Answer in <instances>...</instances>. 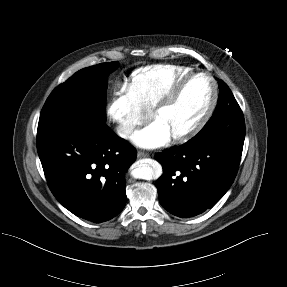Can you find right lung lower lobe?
Returning <instances> with one entry per match:
<instances>
[{
	"mask_svg": "<svg viewBox=\"0 0 287 287\" xmlns=\"http://www.w3.org/2000/svg\"><path fill=\"white\" fill-rule=\"evenodd\" d=\"M37 150L50 190L70 212L101 223L123 210L136 151L106 124L37 134Z\"/></svg>",
	"mask_w": 287,
	"mask_h": 287,
	"instance_id": "1",
	"label": "right lung lower lobe"
}]
</instances>
